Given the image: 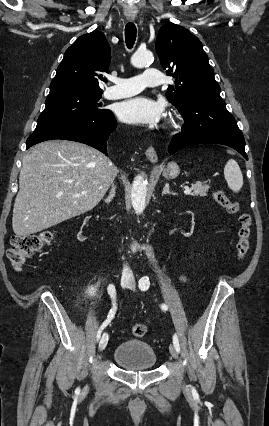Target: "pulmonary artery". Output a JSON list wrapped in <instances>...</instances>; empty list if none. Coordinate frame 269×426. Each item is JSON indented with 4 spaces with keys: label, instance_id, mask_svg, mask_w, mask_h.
<instances>
[{
    "label": "pulmonary artery",
    "instance_id": "1",
    "mask_svg": "<svg viewBox=\"0 0 269 426\" xmlns=\"http://www.w3.org/2000/svg\"><path fill=\"white\" fill-rule=\"evenodd\" d=\"M114 85L107 88L104 97L109 100L129 97L141 92L147 86L163 83V74L159 69L147 68L140 75L130 78H115Z\"/></svg>",
    "mask_w": 269,
    "mask_h": 426
}]
</instances>
